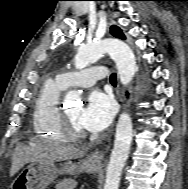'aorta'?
Instances as JSON below:
<instances>
[{"instance_id": "762f6f07", "label": "aorta", "mask_w": 188, "mask_h": 189, "mask_svg": "<svg viewBox=\"0 0 188 189\" xmlns=\"http://www.w3.org/2000/svg\"><path fill=\"white\" fill-rule=\"evenodd\" d=\"M106 53L115 61L121 83L128 85L136 72V61L130 47L119 39L107 38L79 47L75 56V68L83 69L98 61ZM64 101L68 105L77 104L80 101V95L76 91H69ZM132 136V120L129 114L124 112L120 115L116 127L114 147L107 166L104 189L119 188L121 174L130 151Z\"/></svg>"}]
</instances>
